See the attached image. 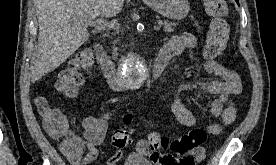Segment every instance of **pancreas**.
Instances as JSON below:
<instances>
[{"mask_svg": "<svg viewBox=\"0 0 276 165\" xmlns=\"http://www.w3.org/2000/svg\"><path fill=\"white\" fill-rule=\"evenodd\" d=\"M163 24V31L164 32H172L174 30V28L177 26L176 23H173V22H168V21H164L162 22ZM117 48L113 47V57H116L118 54H117Z\"/></svg>", "mask_w": 276, "mask_h": 165, "instance_id": "pancreas-1", "label": "pancreas"}]
</instances>
